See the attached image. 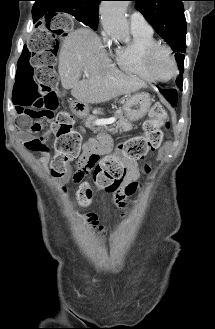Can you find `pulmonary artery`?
<instances>
[{
    "label": "pulmonary artery",
    "instance_id": "obj_1",
    "mask_svg": "<svg viewBox=\"0 0 215 329\" xmlns=\"http://www.w3.org/2000/svg\"><path fill=\"white\" fill-rule=\"evenodd\" d=\"M132 32L152 33L153 29L147 22L143 14L139 11H133L129 18Z\"/></svg>",
    "mask_w": 215,
    "mask_h": 329
}]
</instances>
